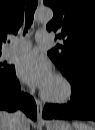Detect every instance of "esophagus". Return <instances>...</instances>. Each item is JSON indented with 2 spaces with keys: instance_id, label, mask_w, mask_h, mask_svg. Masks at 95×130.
<instances>
[{
  "instance_id": "34e87169",
  "label": "esophagus",
  "mask_w": 95,
  "mask_h": 130,
  "mask_svg": "<svg viewBox=\"0 0 95 130\" xmlns=\"http://www.w3.org/2000/svg\"><path fill=\"white\" fill-rule=\"evenodd\" d=\"M35 102H36V105H37V116H38V120H41L42 119L43 104L37 98H35Z\"/></svg>"
}]
</instances>
